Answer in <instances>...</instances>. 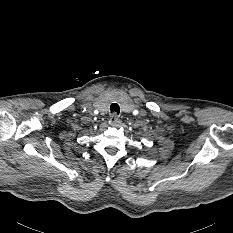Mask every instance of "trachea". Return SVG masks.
Instances as JSON below:
<instances>
[{"instance_id":"3493384b","label":"trachea","mask_w":233,"mask_h":233,"mask_svg":"<svg viewBox=\"0 0 233 233\" xmlns=\"http://www.w3.org/2000/svg\"><path fill=\"white\" fill-rule=\"evenodd\" d=\"M110 109H111L112 113L119 114V112H120V107L117 103H112L110 106Z\"/></svg>"}]
</instances>
